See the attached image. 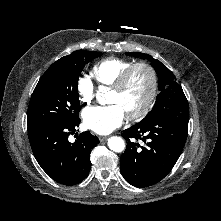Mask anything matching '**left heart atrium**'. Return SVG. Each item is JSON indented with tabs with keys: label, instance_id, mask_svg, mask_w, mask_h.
I'll return each mask as SVG.
<instances>
[{
	"label": "left heart atrium",
	"instance_id": "obj_1",
	"mask_svg": "<svg viewBox=\"0 0 221 221\" xmlns=\"http://www.w3.org/2000/svg\"><path fill=\"white\" fill-rule=\"evenodd\" d=\"M125 119V112L119 104L109 106H94L87 108L83 113L85 126L98 133L108 134L121 126Z\"/></svg>",
	"mask_w": 221,
	"mask_h": 221
}]
</instances>
